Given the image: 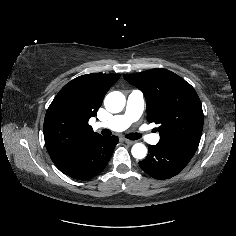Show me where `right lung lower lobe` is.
Returning <instances> with one entry per match:
<instances>
[{
	"label": "right lung lower lobe",
	"instance_id": "98d812e1",
	"mask_svg": "<svg viewBox=\"0 0 236 236\" xmlns=\"http://www.w3.org/2000/svg\"><path fill=\"white\" fill-rule=\"evenodd\" d=\"M117 143V136H101L60 171L76 180L91 179L106 167Z\"/></svg>",
	"mask_w": 236,
	"mask_h": 236
}]
</instances>
